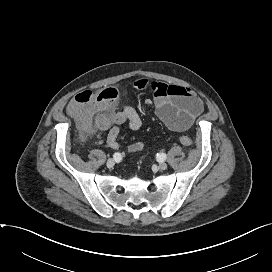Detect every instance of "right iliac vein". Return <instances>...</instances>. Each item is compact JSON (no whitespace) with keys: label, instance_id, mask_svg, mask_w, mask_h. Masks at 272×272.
<instances>
[{"label":"right iliac vein","instance_id":"63e3f726","mask_svg":"<svg viewBox=\"0 0 272 272\" xmlns=\"http://www.w3.org/2000/svg\"><path fill=\"white\" fill-rule=\"evenodd\" d=\"M106 165H107L108 168H113L114 165H115V160L112 159V158L108 159Z\"/></svg>","mask_w":272,"mask_h":272}]
</instances>
